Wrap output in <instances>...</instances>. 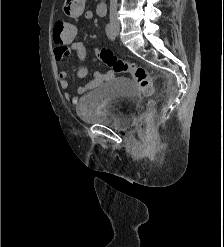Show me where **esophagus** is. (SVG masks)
I'll return each mask as SVG.
<instances>
[{
	"mask_svg": "<svg viewBox=\"0 0 224 247\" xmlns=\"http://www.w3.org/2000/svg\"><path fill=\"white\" fill-rule=\"evenodd\" d=\"M132 67V64L129 65V69Z\"/></svg>",
	"mask_w": 224,
	"mask_h": 247,
	"instance_id": "1",
	"label": "esophagus"
}]
</instances>
